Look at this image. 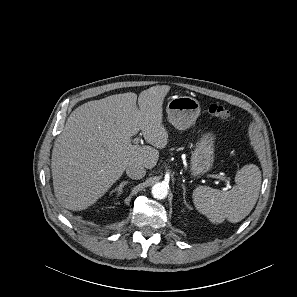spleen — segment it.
I'll return each instance as SVG.
<instances>
[{
	"instance_id": "spleen-1",
	"label": "spleen",
	"mask_w": 297,
	"mask_h": 297,
	"mask_svg": "<svg viewBox=\"0 0 297 297\" xmlns=\"http://www.w3.org/2000/svg\"><path fill=\"white\" fill-rule=\"evenodd\" d=\"M236 185L229 191L199 186L193 192L196 209L212 223L240 222L254 208L261 187V171L254 164L243 166L235 176Z\"/></svg>"
}]
</instances>
